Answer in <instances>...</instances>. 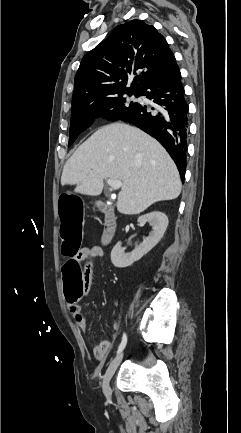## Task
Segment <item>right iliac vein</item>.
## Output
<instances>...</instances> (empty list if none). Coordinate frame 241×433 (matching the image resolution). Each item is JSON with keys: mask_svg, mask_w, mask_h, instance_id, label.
I'll use <instances>...</instances> for the list:
<instances>
[{"mask_svg": "<svg viewBox=\"0 0 241 433\" xmlns=\"http://www.w3.org/2000/svg\"><path fill=\"white\" fill-rule=\"evenodd\" d=\"M123 359V353H119L110 363L108 366L104 378H103V384L102 389L103 393L106 396V398H111V388H110V380L113 377L115 371L117 370L118 366L120 365L121 361Z\"/></svg>", "mask_w": 241, "mask_h": 433, "instance_id": "63e3f726", "label": "right iliac vein"}]
</instances>
